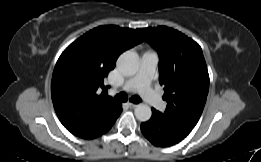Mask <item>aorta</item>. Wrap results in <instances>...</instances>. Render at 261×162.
<instances>
[{"label":"aorta","mask_w":261,"mask_h":162,"mask_svg":"<svg viewBox=\"0 0 261 162\" xmlns=\"http://www.w3.org/2000/svg\"><path fill=\"white\" fill-rule=\"evenodd\" d=\"M118 67L124 75L132 76L139 69V56L134 51H126L120 55L117 61ZM136 118L146 122L151 118L152 111L146 104H138L134 110Z\"/></svg>","instance_id":"obj_1"}]
</instances>
